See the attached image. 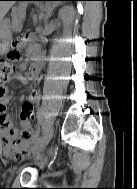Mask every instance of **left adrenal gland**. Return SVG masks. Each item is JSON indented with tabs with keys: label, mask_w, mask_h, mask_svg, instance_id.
<instances>
[{
	"label": "left adrenal gland",
	"mask_w": 137,
	"mask_h": 189,
	"mask_svg": "<svg viewBox=\"0 0 137 189\" xmlns=\"http://www.w3.org/2000/svg\"><path fill=\"white\" fill-rule=\"evenodd\" d=\"M52 11H53V8H50V9L47 10V13H46V16H45V21H47L48 18L51 17Z\"/></svg>",
	"instance_id": "1"
}]
</instances>
